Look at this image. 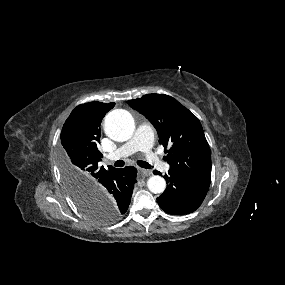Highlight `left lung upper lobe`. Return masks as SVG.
<instances>
[{
    "instance_id": "5c2ea615",
    "label": "left lung upper lobe",
    "mask_w": 285,
    "mask_h": 285,
    "mask_svg": "<svg viewBox=\"0 0 285 285\" xmlns=\"http://www.w3.org/2000/svg\"><path fill=\"white\" fill-rule=\"evenodd\" d=\"M128 103L148 118L157 130L159 143L168 147L165 152L170 171L210 182V148L195 115L165 94H148Z\"/></svg>"
}]
</instances>
